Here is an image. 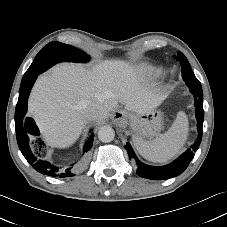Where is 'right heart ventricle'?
Listing matches in <instances>:
<instances>
[{
  "instance_id": "1",
  "label": "right heart ventricle",
  "mask_w": 227,
  "mask_h": 227,
  "mask_svg": "<svg viewBox=\"0 0 227 227\" xmlns=\"http://www.w3.org/2000/svg\"><path fill=\"white\" fill-rule=\"evenodd\" d=\"M151 71L155 72V73H160L159 69H155V68H151Z\"/></svg>"
}]
</instances>
